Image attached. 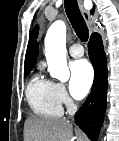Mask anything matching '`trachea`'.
<instances>
[{"label": "trachea", "mask_w": 119, "mask_h": 141, "mask_svg": "<svg viewBox=\"0 0 119 141\" xmlns=\"http://www.w3.org/2000/svg\"><path fill=\"white\" fill-rule=\"evenodd\" d=\"M66 15L79 39L83 42L88 40L89 31L85 20L79 10L77 0H65Z\"/></svg>", "instance_id": "1"}]
</instances>
